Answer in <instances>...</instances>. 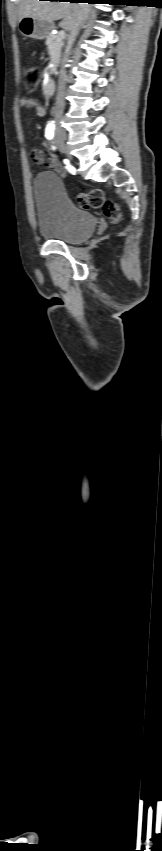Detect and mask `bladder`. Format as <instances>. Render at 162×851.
Returning <instances> with one entry per match:
<instances>
[{
	"label": "bladder",
	"mask_w": 162,
	"mask_h": 851,
	"mask_svg": "<svg viewBox=\"0 0 162 851\" xmlns=\"http://www.w3.org/2000/svg\"><path fill=\"white\" fill-rule=\"evenodd\" d=\"M32 191L37 226L43 237L77 244L94 233L95 216L69 199L56 173H39L34 179Z\"/></svg>",
	"instance_id": "bladder-1"
}]
</instances>
